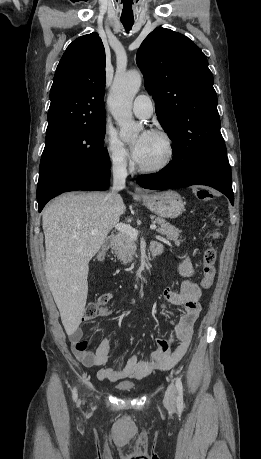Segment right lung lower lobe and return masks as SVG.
<instances>
[{
  "label": "right lung lower lobe",
  "instance_id": "1",
  "mask_svg": "<svg viewBox=\"0 0 261 459\" xmlns=\"http://www.w3.org/2000/svg\"><path fill=\"white\" fill-rule=\"evenodd\" d=\"M111 172L109 169H79L55 178L42 191L37 192L38 211L57 195L74 190L92 191L105 190L109 185Z\"/></svg>",
  "mask_w": 261,
  "mask_h": 459
}]
</instances>
